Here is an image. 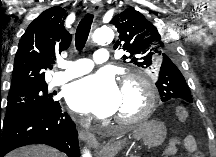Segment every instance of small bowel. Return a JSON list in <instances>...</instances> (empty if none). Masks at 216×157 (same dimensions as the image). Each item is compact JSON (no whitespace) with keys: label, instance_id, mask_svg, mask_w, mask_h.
<instances>
[{"label":"small bowel","instance_id":"1","mask_svg":"<svg viewBox=\"0 0 216 157\" xmlns=\"http://www.w3.org/2000/svg\"><path fill=\"white\" fill-rule=\"evenodd\" d=\"M179 145H183L186 151L194 157L202 156L195 138L191 135L185 136L183 138H173L164 149L163 155L165 157L174 156L177 152Z\"/></svg>","mask_w":216,"mask_h":157}]
</instances>
